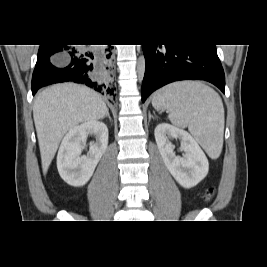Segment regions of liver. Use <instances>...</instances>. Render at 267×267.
<instances>
[{"label": "liver", "instance_id": "obj_1", "mask_svg": "<svg viewBox=\"0 0 267 267\" xmlns=\"http://www.w3.org/2000/svg\"><path fill=\"white\" fill-rule=\"evenodd\" d=\"M107 107L98 93L72 83L53 85L40 92L33 118L43 173L46 174L64 135L79 123L105 117Z\"/></svg>", "mask_w": 267, "mask_h": 267}]
</instances>
